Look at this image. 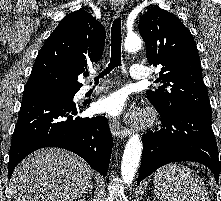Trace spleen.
Wrapping results in <instances>:
<instances>
[{"label":"spleen","instance_id":"obj_1","mask_svg":"<svg viewBox=\"0 0 221 201\" xmlns=\"http://www.w3.org/2000/svg\"><path fill=\"white\" fill-rule=\"evenodd\" d=\"M154 192L160 201H209L202 179L188 166L177 163L157 170Z\"/></svg>","mask_w":221,"mask_h":201}]
</instances>
